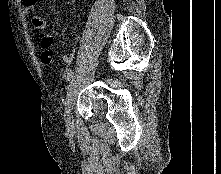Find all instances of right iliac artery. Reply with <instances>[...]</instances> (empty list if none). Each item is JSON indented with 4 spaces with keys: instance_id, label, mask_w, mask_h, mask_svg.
I'll return each mask as SVG.
<instances>
[{
    "instance_id": "82829eb1",
    "label": "right iliac artery",
    "mask_w": 221,
    "mask_h": 174,
    "mask_svg": "<svg viewBox=\"0 0 221 174\" xmlns=\"http://www.w3.org/2000/svg\"><path fill=\"white\" fill-rule=\"evenodd\" d=\"M65 80L69 82L73 77V71L71 69L67 70L64 74Z\"/></svg>"
}]
</instances>
